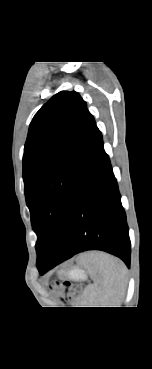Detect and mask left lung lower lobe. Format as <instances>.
Masks as SVG:
<instances>
[{
    "mask_svg": "<svg viewBox=\"0 0 152 369\" xmlns=\"http://www.w3.org/2000/svg\"><path fill=\"white\" fill-rule=\"evenodd\" d=\"M86 250L111 253L130 267L126 214L108 155L97 130L85 161L63 242L57 255L37 265L40 274Z\"/></svg>",
    "mask_w": 152,
    "mask_h": 369,
    "instance_id": "obj_1",
    "label": "left lung lower lobe"
}]
</instances>
